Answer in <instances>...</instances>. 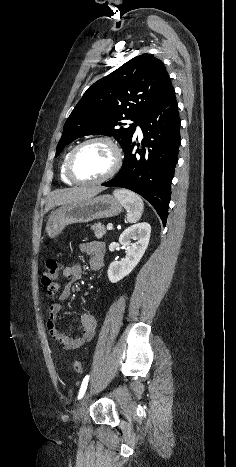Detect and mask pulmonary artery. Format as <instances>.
<instances>
[{
    "label": "pulmonary artery",
    "mask_w": 236,
    "mask_h": 467,
    "mask_svg": "<svg viewBox=\"0 0 236 467\" xmlns=\"http://www.w3.org/2000/svg\"><path fill=\"white\" fill-rule=\"evenodd\" d=\"M136 132H137L139 135H141V133H142V132H141V128H140L139 125L136 126Z\"/></svg>",
    "instance_id": "obj_1"
}]
</instances>
